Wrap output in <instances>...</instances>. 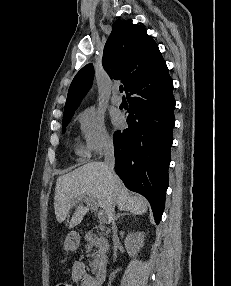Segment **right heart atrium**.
<instances>
[{
    "instance_id": "d8ad5b80",
    "label": "right heart atrium",
    "mask_w": 231,
    "mask_h": 286,
    "mask_svg": "<svg viewBox=\"0 0 231 286\" xmlns=\"http://www.w3.org/2000/svg\"><path fill=\"white\" fill-rule=\"evenodd\" d=\"M77 120L83 140V148L89 154H100L112 146L103 115L93 107L83 109Z\"/></svg>"
}]
</instances>
